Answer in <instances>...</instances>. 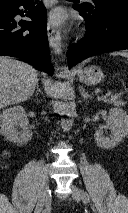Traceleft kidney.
I'll return each mask as SVG.
<instances>
[{
  "label": "left kidney",
  "instance_id": "left-kidney-1",
  "mask_svg": "<svg viewBox=\"0 0 128 213\" xmlns=\"http://www.w3.org/2000/svg\"><path fill=\"white\" fill-rule=\"evenodd\" d=\"M105 128L111 130V135L105 137L103 131H96L94 134L95 142L101 148L113 149L128 135L126 111L118 108L110 109Z\"/></svg>",
  "mask_w": 128,
  "mask_h": 213
}]
</instances>
